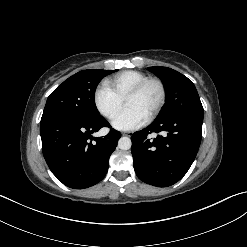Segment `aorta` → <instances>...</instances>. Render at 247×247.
Segmentation results:
<instances>
[{
  "label": "aorta",
  "mask_w": 247,
  "mask_h": 247,
  "mask_svg": "<svg viewBox=\"0 0 247 247\" xmlns=\"http://www.w3.org/2000/svg\"><path fill=\"white\" fill-rule=\"evenodd\" d=\"M131 146H132V142L129 137H121L118 141V147L121 150H129Z\"/></svg>",
  "instance_id": "1"
}]
</instances>
